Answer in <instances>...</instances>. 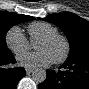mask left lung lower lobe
Listing matches in <instances>:
<instances>
[{"label": "left lung lower lobe", "mask_w": 89, "mask_h": 89, "mask_svg": "<svg viewBox=\"0 0 89 89\" xmlns=\"http://www.w3.org/2000/svg\"><path fill=\"white\" fill-rule=\"evenodd\" d=\"M61 68L65 70H47L39 89H89V55L66 60Z\"/></svg>", "instance_id": "1"}]
</instances>
